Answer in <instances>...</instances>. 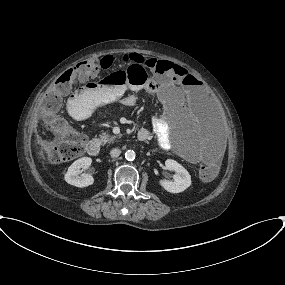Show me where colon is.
<instances>
[{"label": "colon", "instance_id": "5ec220e1", "mask_svg": "<svg viewBox=\"0 0 285 285\" xmlns=\"http://www.w3.org/2000/svg\"><path fill=\"white\" fill-rule=\"evenodd\" d=\"M112 67V59L104 57L100 60L87 59L74 68L65 71L44 93L38 102V113L44 119L55 118L58 115L63 99L69 89L77 83L99 80L102 84H125L132 82L140 87L147 83V71H152L161 79L172 76L182 81L190 78L181 66L165 60H144L127 63L125 69L108 73ZM149 89L154 91L150 84ZM62 139L59 145H49L41 151L44 159L57 164L79 158L84 153L86 137L75 130L71 125L59 122ZM219 170L217 158L205 161L200 166V176L204 181H209L216 176Z\"/></svg>", "mask_w": 285, "mask_h": 285}]
</instances>
